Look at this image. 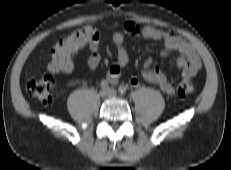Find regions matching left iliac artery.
<instances>
[{"label":"left iliac artery","instance_id":"left-iliac-artery-1","mask_svg":"<svg viewBox=\"0 0 231 170\" xmlns=\"http://www.w3.org/2000/svg\"><path fill=\"white\" fill-rule=\"evenodd\" d=\"M126 90H127V87L124 86V85H120V86L118 87V91H119L120 94H125V93H126Z\"/></svg>","mask_w":231,"mask_h":170}]
</instances>
